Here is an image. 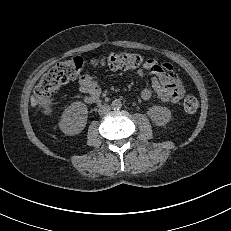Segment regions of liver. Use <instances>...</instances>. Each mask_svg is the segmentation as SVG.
Instances as JSON below:
<instances>
[{
	"label": "liver",
	"instance_id": "liver-1",
	"mask_svg": "<svg viewBox=\"0 0 231 231\" xmlns=\"http://www.w3.org/2000/svg\"><path fill=\"white\" fill-rule=\"evenodd\" d=\"M38 104V101L36 100V98L34 96L31 97V105L33 107H35Z\"/></svg>",
	"mask_w": 231,
	"mask_h": 231
}]
</instances>
